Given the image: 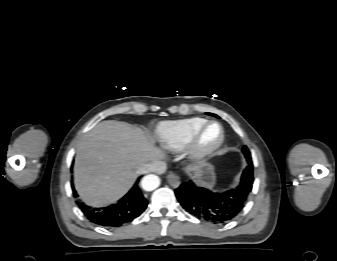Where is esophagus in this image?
I'll return each mask as SVG.
<instances>
[{
    "mask_svg": "<svg viewBox=\"0 0 337 261\" xmlns=\"http://www.w3.org/2000/svg\"><path fill=\"white\" fill-rule=\"evenodd\" d=\"M167 181L173 188H177L180 185V178L174 173H170L167 175Z\"/></svg>",
    "mask_w": 337,
    "mask_h": 261,
    "instance_id": "esophagus-1",
    "label": "esophagus"
}]
</instances>
